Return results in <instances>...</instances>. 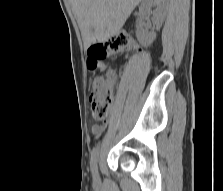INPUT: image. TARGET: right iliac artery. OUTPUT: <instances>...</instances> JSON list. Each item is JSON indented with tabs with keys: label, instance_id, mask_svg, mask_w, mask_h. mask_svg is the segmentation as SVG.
Segmentation results:
<instances>
[{
	"label": "right iliac artery",
	"instance_id": "1",
	"mask_svg": "<svg viewBox=\"0 0 223 191\" xmlns=\"http://www.w3.org/2000/svg\"><path fill=\"white\" fill-rule=\"evenodd\" d=\"M98 156H99V146H96L93 148L91 152V169L93 174H96L97 172V162H98Z\"/></svg>",
	"mask_w": 223,
	"mask_h": 191
}]
</instances>
